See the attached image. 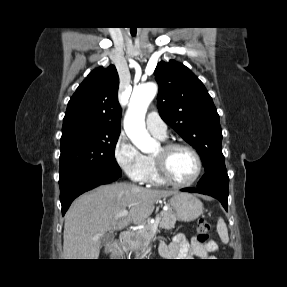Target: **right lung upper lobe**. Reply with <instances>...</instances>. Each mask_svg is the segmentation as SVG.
Returning a JSON list of instances; mask_svg holds the SVG:
<instances>
[{"label":"right lung upper lobe","instance_id":"1","mask_svg":"<svg viewBox=\"0 0 287 287\" xmlns=\"http://www.w3.org/2000/svg\"><path fill=\"white\" fill-rule=\"evenodd\" d=\"M118 87L119 77L114 65L91 71L68 102L62 130L90 125L99 130L120 131Z\"/></svg>","mask_w":287,"mask_h":287}]
</instances>
